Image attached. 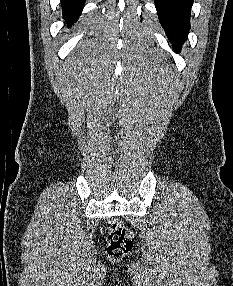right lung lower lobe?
<instances>
[{"label": "right lung lower lobe", "mask_w": 233, "mask_h": 286, "mask_svg": "<svg viewBox=\"0 0 233 286\" xmlns=\"http://www.w3.org/2000/svg\"><path fill=\"white\" fill-rule=\"evenodd\" d=\"M85 0H61L63 15L69 26L77 20Z\"/></svg>", "instance_id": "98d812e1"}]
</instances>
